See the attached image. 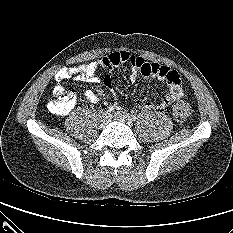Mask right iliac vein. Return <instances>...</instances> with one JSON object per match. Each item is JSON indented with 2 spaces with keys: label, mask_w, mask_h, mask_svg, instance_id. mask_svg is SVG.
Masks as SVG:
<instances>
[{
  "label": "right iliac vein",
  "mask_w": 233,
  "mask_h": 233,
  "mask_svg": "<svg viewBox=\"0 0 233 233\" xmlns=\"http://www.w3.org/2000/svg\"><path fill=\"white\" fill-rule=\"evenodd\" d=\"M111 119V115L107 112H103L100 115V126H105Z\"/></svg>",
  "instance_id": "1"
}]
</instances>
